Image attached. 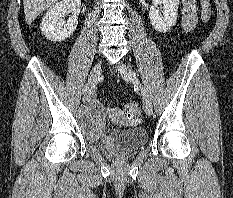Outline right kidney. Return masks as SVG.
I'll use <instances>...</instances> for the list:
<instances>
[{
	"mask_svg": "<svg viewBox=\"0 0 233 198\" xmlns=\"http://www.w3.org/2000/svg\"><path fill=\"white\" fill-rule=\"evenodd\" d=\"M67 10L72 16L64 22L62 16ZM81 10V0H62L51 6L41 22V32L53 42H61L69 38L77 28Z\"/></svg>",
	"mask_w": 233,
	"mask_h": 198,
	"instance_id": "right-kidney-1",
	"label": "right kidney"
}]
</instances>
